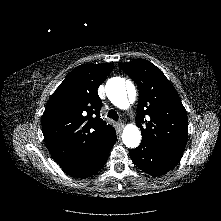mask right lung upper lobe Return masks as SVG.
Listing matches in <instances>:
<instances>
[{
  "label": "right lung upper lobe",
  "instance_id": "1",
  "mask_svg": "<svg viewBox=\"0 0 221 221\" xmlns=\"http://www.w3.org/2000/svg\"><path fill=\"white\" fill-rule=\"evenodd\" d=\"M113 63L82 64L63 80L42 115L45 143L59 166L85 158L115 134L100 117L97 89L113 70Z\"/></svg>",
  "mask_w": 221,
  "mask_h": 221
}]
</instances>
